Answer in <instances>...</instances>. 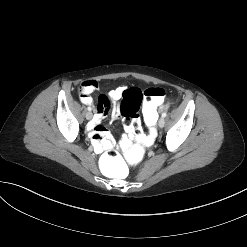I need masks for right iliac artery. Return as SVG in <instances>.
Returning <instances> with one entry per match:
<instances>
[{
    "label": "right iliac artery",
    "instance_id": "1",
    "mask_svg": "<svg viewBox=\"0 0 247 247\" xmlns=\"http://www.w3.org/2000/svg\"><path fill=\"white\" fill-rule=\"evenodd\" d=\"M87 110H88V111H91V110H92V108H91V107H88V108H87Z\"/></svg>",
    "mask_w": 247,
    "mask_h": 247
}]
</instances>
